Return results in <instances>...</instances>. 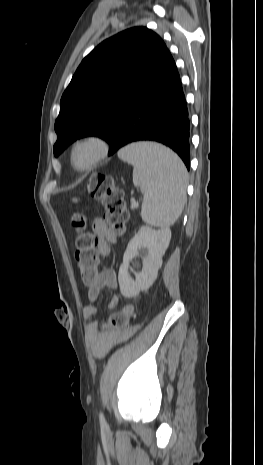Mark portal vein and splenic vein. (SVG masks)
I'll return each instance as SVG.
<instances>
[{
  "label": "portal vein and splenic vein",
  "mask_w": 263,
  "mask_h": 465,
  "mask_svg": "<svg viewBox=\"0 0 263 465\" xmlns=\"http://www.w3.org/2000/svg\"><path fill=\"white\" fill-rule=\"evenodd\" d=\"M131 206L133 208H137L138 207V202H136L135 200L131 201Z\"/></svg>",
  "instance_id": "18ae733b"
}]
</instances>
